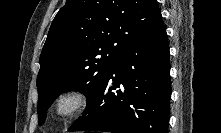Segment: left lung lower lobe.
Wrapping results in <instances>:
<instances>
[{
  "instance_id": "obj_1",
  "label": "left lung lower lobe",
  "mask_w": 221,
  "mask_h": 133,
  "mask_svg": "<svg viewBox=\"0 0 221 133\" xmlns=\"http://www.w3.org/2000/svg\"><path fill=\"white\" fill-rule=\"evenodd\" d=\"M170 97L169 47L160 18L121 51L69 131L167 133Z\"/></svg>"
}]
</instances>
